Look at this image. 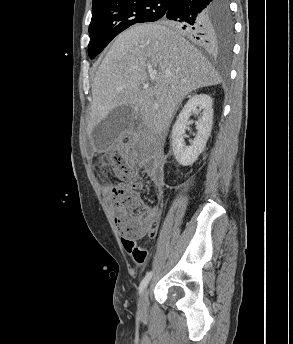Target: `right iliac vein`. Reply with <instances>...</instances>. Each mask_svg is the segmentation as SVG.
I'll return each mask as SVG.
<instances>
[{"label":"right iliac vein","instance_id":"1","mask_svg":"<svg viewBox=\"0 0 293 344\" xmlns=\"http://www.w3.org/2000/svg\"><path fill=\"white\" fill-rule=\"evenodd\" d=\"M138 314L141 318H146L148 315V291L145 290L141 295L138 303Z\"/></svg>","mask_w":293,"mask_h":344}]
</instances>
